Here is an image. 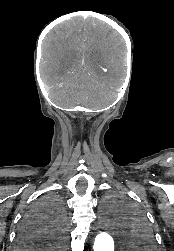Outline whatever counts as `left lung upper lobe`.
<instances>
[{
	"label": "left lung upper lobe",
	"instance_id": "1",
	"mask_svg": "<svg viewBox=\"0 0 174 251\" xmlns=\"http://www.w3.org/2000/svg\"><path fill=\"white\" fill-rule=\"evenodd\" d=\"M108 201L112 206L110 210L122 214L131 227L129 245L132 249L135 251H155L154 235L144 216L122 198H111Z\"/></svg>",
	"mask_w": 174,
	"mask_h": 251
}]
</instances>
